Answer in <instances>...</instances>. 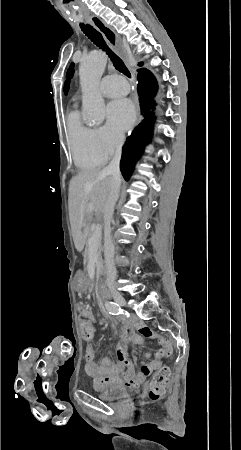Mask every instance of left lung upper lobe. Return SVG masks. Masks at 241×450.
Here are the masks:
<instances>
[{"instance_id":"5c2ea615","label":"left lung upper lobe","mask_w":241,"mask_h":450,"mask_svg":"<svg viewBox=\"0 0 241 450\" xmlns=\"http://www.w3.org/2000/svg\"><path fill=\"white\" fill-rule=\"evenodd\" d=\"M74 63H71L70 68L67 70V74H66V81H65V86H64V93L65 95H67L68 90H69V86H70V79L72 78L73 74H74Z\"/></svg>"}]
</instances>
